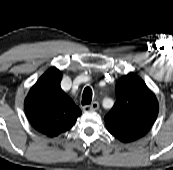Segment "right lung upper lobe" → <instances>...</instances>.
<instances>
[{
  "label": "right lung upper lobe",
  "instance_id": "obj_1",
  "mask_svg": "<svg viewBox=\"0 0 173 170\" xmlns=\"http://www.w3.org/2000/svg\"><path fill=\"white\" fill-rule=\"evenodd\" d=\"M61 72L52 67L29 91L25 113L31 125L40 133L54 137L72 127L81 110L60 87Z\"/></svg>",
  "mask_w": 173,
  "mask_h": 170
}]
</instances>
